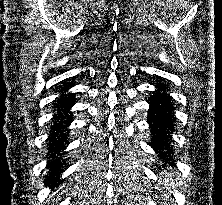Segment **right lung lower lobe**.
Returning <instances> with one entry per match:
<instances>
[{
	"mask_svg": "<svg viewBox=\"0 0 222 205\" xmlns=\"http://www.w3.org/2000/svg\"><path fill=\"white\" fill-rule=\"evenodd\" d=\"M71 85H65L61 88L60 92H66ZM74 96L70 93L62 94L57 100L55 107L57 108V114L53 119L52 133L48 138L49 141V155L53 158L51 162L48 163L47 167L50 168V173L46 177L45 183L55 184L57 186V179L60 177L61 166H62V155L61 150L65 148L67 143L68 130L64 128L68 127L72 121V113L70 108L74 105ZM57 154V155H56Z\"/></svg>",
	"mask_w": 222,
	"mask_h": 205,
	"instance_id": "obj_1",
	"label": "right lung lower lobe"
}]
</instances>
